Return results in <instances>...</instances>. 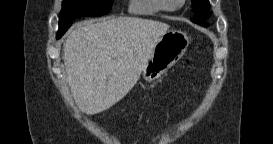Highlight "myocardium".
I'll return each mask as SVG.
<instances>
[{
	"label": "myocardium",
	"instance_id": "1",
	"mask_svg": "<svg viewBox=\"0 0 273 144\" xmlns=\"http://www.w3.org/2000/svg\"><path fill=\"white\" fill-rule=\"evenodd\" d=\"M158 1V6L161 10H164V11H173L175 10L176 8L173 7V6H170L168 4L169 0H157ZM184 0H178V3H183Z\"/></svg>",
	"mask_w": 273,
	"mask_h": 144
}]
</instances>
